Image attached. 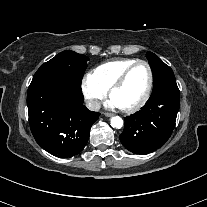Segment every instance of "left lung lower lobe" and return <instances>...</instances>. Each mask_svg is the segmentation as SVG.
<instances>
[{
    "mask_svg": "<svg viewBox=\"0 0 207 207\" xmlns=\"http://www.w3.org/2000/svg\"><path fill=\"white\" fill-rule=\"evenodd\" d=\"M179 104L177 85L154 91L139 112L125 118L119 136L123 146L136 154H148L163 146L172 134Z\"/></svg>",
    "mask_w": 207,
    "mask_h": 207,
    "instance_id": "0a47b994",
    "label": "left lung lower lobe"
}]
</instances>
